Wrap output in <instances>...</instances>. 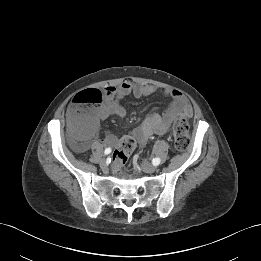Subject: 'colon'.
<instances>
[{
  "label": "colon",
  "instance_id": "1",
  "mask_svg": "<svg viewBox=\"0 0 261 261\" xmlns=\"http://www.w3.org/2000/svg\"><path fill=\"white\" fill-rule=\"evenodd\" d=\"M104 94L100 91H88L78 95L69 106L70 124L77 133L87 131L93 124L94 105ZM188 123L184 118H177L172 125L174 146L177 150H186L190 144ZM136 146L131 137H123L119 148L114 153V162L118 166L126 163L128 156Z\"/></svg>",
  "mask_w": 261,
  "mask_h": 261
}]
</instances>
